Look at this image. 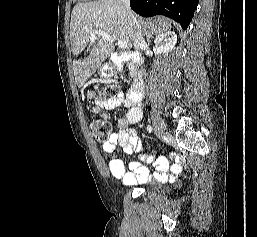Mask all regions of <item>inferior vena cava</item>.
<instances>
[{
	"mask_svg": "<svg viewBox=\"0 0 257 237\" xmlns=\"http://www.w3.org/2000/svg\"><path fill=\"white\" fill-rule=\"evenodd\" d=\"M120 2L123 5L124 14H125V17H126L127 21L129 22L130 25L137 28L138 24H137V21L134 17V14L131 11L130 0H120ZM145 45L146 44H145V41H144L143 36L141 34V31L139 29H137L135 37H134V48L137 51H142L143 48L145 47Z\"/></svg>",
	"mask_w": 257,
	"mask_h": 237,
	"instance_id": "602c4592",
	"label": "inferior vena cava"
}]
</instances>
